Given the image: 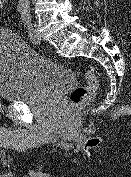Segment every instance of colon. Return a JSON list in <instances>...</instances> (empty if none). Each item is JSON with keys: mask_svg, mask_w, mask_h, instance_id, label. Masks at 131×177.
Here are the masks:
<instances>
[{"mask_svg": "<svg viewBox=\"0 0 131 177\" xmlns=\"http://www.w3.org/2000/svg\"><path fill=\"white\" fill-rule=\"evenodd\" d=\"M9 0H0V11L7 7ZM86 81L85 86L75 87L70 94L69 110L75 111L93 100L99 86V80L94 72L88 69L82 71Z\"/></svg>", "mask_w": 131, "mask_h": 177, "instance_id": "1", "label": "colon"}]
</instances>
